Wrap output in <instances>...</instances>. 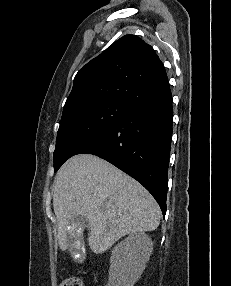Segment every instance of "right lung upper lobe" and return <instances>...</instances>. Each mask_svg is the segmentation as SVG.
Returning <instances> with one entry per match:
<instances>
[{"label": "right lung upper lobe", "instance_id": "obj_1", "mask_svg": "<svg viewBox=\"0 0 231 286\" xmlns=\"http://www.w3.org/2000/svg\"><path fill=\"white\" fill-rule=\"evenodd\" d=\"M166 80L152 47L135 35H125L79 70L62 116L103 101L127 104Z\"/></svg>", "mask_w": 231, "mask_h": 286}]
</instances>
